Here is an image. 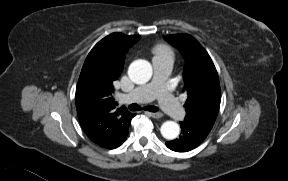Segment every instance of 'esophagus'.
<instances>
[{
	"mask_svg": "<svg viewBox=\"0 0 288 181\" xmlns=\"http://www.w3.org/2000/svg\"><path fill=\"white\" fill-rule=\"evenodd\" d=\"M146 114H149L151 117L156 118V119L162 117V114L158 112H146Z\"/></svg>",
	"mask_w": 288,
	"mask_h": 181,
	"instance_id": "obj_1",
	"label": "esophagus"
}]
</instances>
